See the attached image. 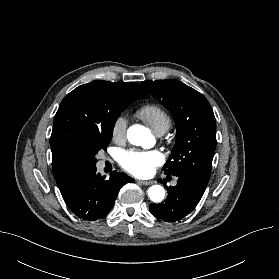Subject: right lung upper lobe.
I'll use <instances>...</instances> for the list:
<instances>
[{
	"mask_svg": "<svg viewBox=\"0 0 279 279\" xmlns=\"http://www.w3.org/2000/svg\"><path fill=\"white\" fill-rule=\"evenodd\" d=\"M148 97L136 83L97 80L75 88L62 100L50 138L53 175L61 194L83 169V138L104 126L110 104L117 99Z\"/></svg>",
	"mask_w": 279,
	"mask_h": 279,
	"instance_id": "obj_1",
	"label": "right lung upper lobe"
}]
</instances>
